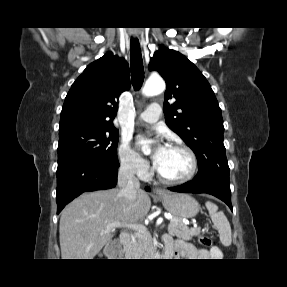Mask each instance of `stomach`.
Listing matches in <instances>:
<instances>
[{
  "label": "stomach",
  "mask_w": 287,
  "mask_h": 287,
  "mask_svg": "<svg viewBox=\"0 0 287 287\" xmlns=\"http://www.w3.org/2000/svg\"><path fill=\"white\" fill-rule=\"evenodd\" d=\"M163 206L178 218H192L200 210L199 203L190 195L166 191L159 196Z\"/></svg>",
  "instance_id": "1"
}]
</instances>
